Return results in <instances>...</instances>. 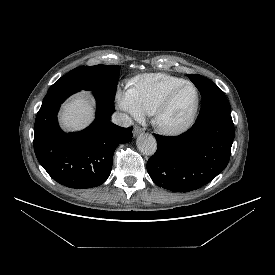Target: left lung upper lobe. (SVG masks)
Returning a JSON list of instances; mask_svg holds the SVG:
<instances>
[{"mask_svg": "<svg viewBox=\"0 0 275 275\" xmlns=\"http://www.w3.org/2000/svg\"><path fill=\"white\" fill-rule=\"evenodd\" d=\"M202 96L201 110L197 119L214 115H230V104L221 89L211 80L195 74H188Z\"/></svg>", "mask_w": 275, "mask_h": 275, "instance_id": "left-lung-upper-lobe-1", "label": "left lung upper lobe"}]
</instances>
